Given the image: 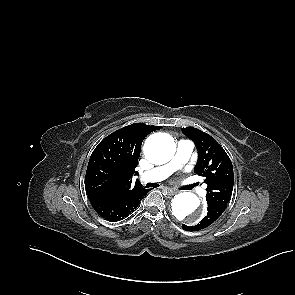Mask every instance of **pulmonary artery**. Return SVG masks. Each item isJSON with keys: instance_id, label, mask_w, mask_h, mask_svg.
Listing matches in <instances>:
<instances>
[{"instance_id": "e3ab8cb5", "label": "pulmonary artery", "mask_w": 295, "mask_h": 295, "mask_svg": "<svg viewBox=\"0 0 295 295\" xmlns=\"http://www.w3.org/2000/svg\"><path fill=\"white\" fill-rule=\"evenodd\" d=\"M193 143L189 140H180L177 144V150L170 162L165 165L155 167L150 171L145 172L141 179L145 182H159L166 179L174 171L180 169L189 159L192 150ZM199 194H205V190L200 188Z\"/></svg>"}]
</instances>
